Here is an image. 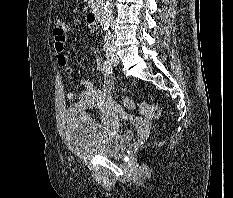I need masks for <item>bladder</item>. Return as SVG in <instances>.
Here are the masks:
<instances>
[{
	"label": "bladder",
	"mask_w": 233,
	"mask_h": 198,
	"mask_svg": "<svg viewBox=\"0 0 233 198\" xmlns=\"http://www.w3.org/2000/svg\"><path fill=\"white\" fill-rule=\"evenodd\" d=\"M117 115L118 111L99 122L83 112H67L65 129L70 146L82 154L119 156L130 143L132 134L119 128Z\"/></svg>",
	"instance_id": "31cf9c89"
}]
</instances>
